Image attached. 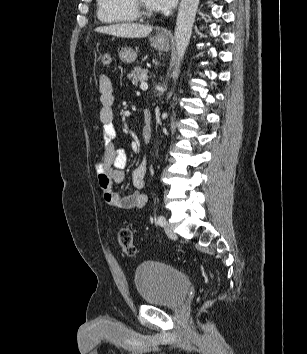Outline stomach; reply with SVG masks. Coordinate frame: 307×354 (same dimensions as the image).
Listing matches in <instances>:
<instances>
[{
  "mask_svg": "<svg viewBox=\"0 0 307 354\" xmlns=\"http://www.w3.org/2000/svg\"><path fill=\"white\" fill-rule=\"evenodd\" d=\"M152 45L161 51H167L170 47L169 39L167 35L159 33L151 39ZM119 57L124 63H132L136 57L137 53L131 48H122L119 52Z\"/></svg>",
  "mask_w": 307,
  "mask_h": 354,
  "instance_id": "stomach-1",
  "label": "stomach"
}]
</instances>
